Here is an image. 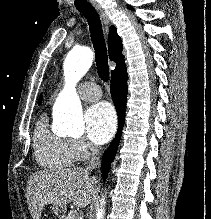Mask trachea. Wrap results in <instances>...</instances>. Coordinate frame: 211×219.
Here are the masks:
<instances>
[{"instance_id": "3493384b", "label": "trachea", "mask_w": 211, "mask_h": 219, "mask_svg": "<svg viewBox=\"0 0 211 219\" xmlns=\"http://www.w3.org/2000/svg\"><path fill=\"white\" fill-rule=\"evenodd\" d=\"M76 8L87 19L95 50L98 75L106 82L109 79L108 55L100 18L94 7L90 4L76 6Z\"/></svg>"}]
</instances>
